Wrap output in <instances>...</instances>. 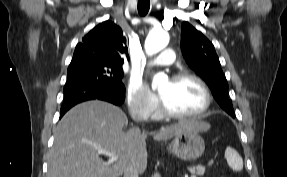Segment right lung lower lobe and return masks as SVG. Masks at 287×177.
Here are the masks:
<instances>
[{"label": "right lung lower lobe", "mask_w": 287, "mask_h": 177, "mask_svg": "<svg viewBox=\"0 0 287 177\" xmlns=\"http://www.w3.org/2000/svg\"><path fill=\"white\" fill-rule=\"evenodd\" d=\"M95 99L121 105L125 99V87L122 82L108 83L89 77L67 80L60 118L76 104Z\"/></svg>", "instance_id": "1"}]
</instances>
